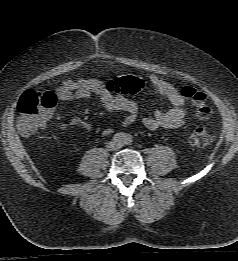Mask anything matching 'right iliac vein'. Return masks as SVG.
<instances>
[{
	"instance_id": "1",
	"label": "right iliac vein",
	"mask_w": 238,
	"mask_h": 261,
	"mask_svg": "<svg viewBox=\"0 0 238 261\" xmlns=\"http://www.w3.org/2000/svg\"><path fill=\"white\" fill-rule=\"evenodd\" d=\"M108 148L110 150H114L115 149V144L114 143L109 144Z\"/></svg>"
}]
</instances>
